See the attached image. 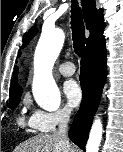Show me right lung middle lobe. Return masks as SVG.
<instances>
[{
	"instance_id": "1",
	"label": "right lung middle lobe",
	"mask_w": 123,
	"mask_h": 152,
	"mask_svg": "<svg viewBox=\"0 0 123 152\" xmlns=\"http://www.w3.org/2000/svg\"><path fill=\"white\" fill-rule=\"evenodd\" d=\"M22 94V91H18L12 95H10V101H9V108L14 109L18 105L20 101V96Z\"/></svg>"
}]
</instances>
